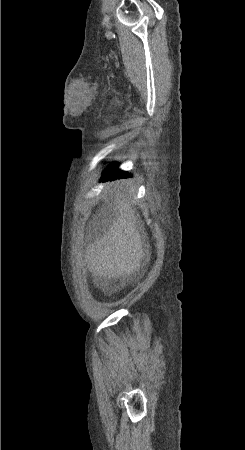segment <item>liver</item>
<instances>
[{
    "instance_id": "liver-1",
    "label": "liver",
    "mask_w": 245,
    "mask_h": 450,
    "mask_svg": "<svg viewBox=\"0 0 245 450\" xmlns=\"http://www.w3.org/2000/svg\"><path fill=\"white\" fill-rule=\"evenodd\" d=\"M112 211L114 218L107 233L89 246L85 253L88 270L104 278L133 274L145 255L141 227L130 198L116 191Z\"/></svg>"
}]
</instances>
